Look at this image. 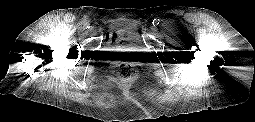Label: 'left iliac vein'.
Returning a JSON list of instances; mask_svg holds the SVG:
<instances>
[{"label":"left iliac vein","instance_id":"obj_1","mask_svg":"<svg viewBox=\"0 0 255 122\" xmlns=\"http://www.w3.org/2000/svg\"><path fill=\"white\" fill-rule=\"evenodd\" d=\"M151 30L154 31V30H155V27H151Z\"/></svg>","mask_w":255,"mask_h":122}]
</instances>
